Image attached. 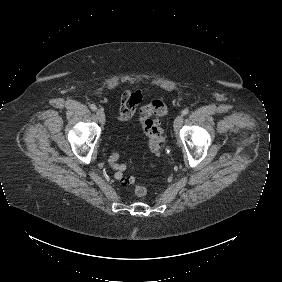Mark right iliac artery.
I'll return each mask as SVG.
<instances>
[{
	"mask_svg": "<svg viewBox=\"0 0 282 282\" xmlns=\"http://www.w3.org/2000/svg\"><path fill=\"white\" fill-rule=\"evenodd\" d=\"M90 108H91L93 111H96V110H97V107H96V105H94V104H91V105H90Z\"/></svg>",
	"mask_w": 282,
	"mask_h": 282,
	"instance_id": "right-iliac-artery-1",
	"label": "right iliac artery"
}]
</instances>
